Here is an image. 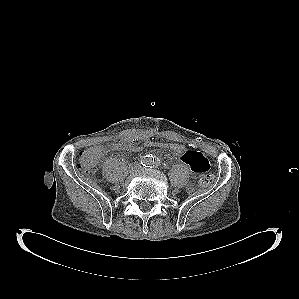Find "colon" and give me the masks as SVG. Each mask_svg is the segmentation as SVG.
Instances as JSON below:
<instances>
[{
  "mask_svg": "<svg viewBox=\"0 0 299 299\" xmlns=\"http://www.w3.org/2000/svg\"><path fill=\"white\" fill-rule=\"evenodd\" d=\"M163 148L168 149L178 156L184 152V146L178 143H171L162 140H147L140 144L127 145L123 139L117 140L104 147H94L83 150L78 158L77 167L84 173H92L95 171L96 165L100 156L106 151H127L130 149L131 152H140L149 148ZM213 182V176L211 174H205L199 179V185L201 187H208Z\"/></svg>",
  "mask_w": 299,
  "mask_h": 299,
  "instance_id": "5ec220e1",
  "label": "colon"
}]
</instances>
